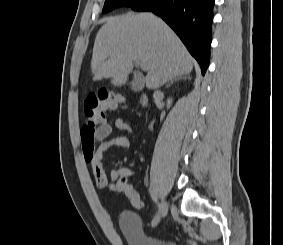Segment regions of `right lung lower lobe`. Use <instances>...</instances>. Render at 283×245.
<instances>
[{"label": "right lung lower lobe", "mask_w": 283, "mask_h": 245, "mask_svg": "<svg viewBox=\"0 0 283 245\" xmlns=\"http://www.w3.org/2000/svg\"><path fill=\"white\" fill-rule=\"evenodd\" d=\"M215 0H142L131 8L152 11L176 32L204 75L210 56L211 24Z\"/></svg>", "instance_id": "1"}]
</instances>
